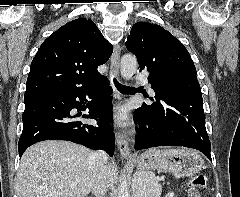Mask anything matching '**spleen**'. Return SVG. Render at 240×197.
<instances>
[{"label":"spleen","instance_id":"3e777b00","mask_svg":"<svg viewBox=\"0 0 240 197\" xmlns=\"http://www.w3.org/2000/svg\"><path fill=\"white\" fill-rule=\"evenodd\" d=\"M147 176H148V181H149L150 187L148 188V190H146L147 194L145 195V197H159L161 189L154 182V174L149 173Z\"/></svg>","mask_w":240,"mask_h":197}]
</instances>
